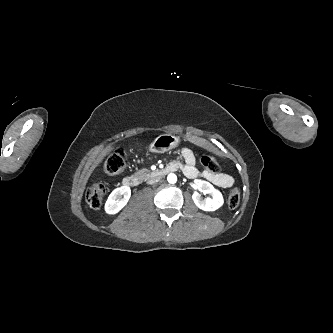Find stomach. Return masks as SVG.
I'll return each mask as SVG.
<instances>
[{"label": "stomach", "instance_id": "stomach-1", "mask_svg": "<svg viewBox=\"0 0 333 333\" xmlns=\"http://www.w3.org/2000/svg\"><path fill=\"white\" fill-rule=\"evenodd\" d=\"M179 137L173 134L159 135L150 146V151L153 153H164L169 151L179 144Z\"/></svg>", "mask_w": 333, "mask_h": 333}]
</instances>
